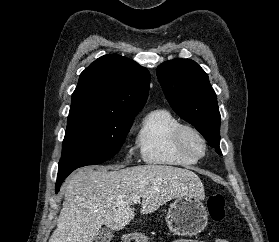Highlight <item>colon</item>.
Instances as JSON below:
<instances>
[{"label":"colon","mask_w":279,"mask_h":242,"mask_svg":"<svg viewBox=\"0 0 279 242\" xmlns=\"http://www.w3.org/2000/svg\"><path fill=\"white\" fill-rule=\"evenodd\" d=\"M209 216L214 221H221L225 216V200L221 194H214L208 198Z\"/></svg>","instance_id":"1"}]
</instances>
